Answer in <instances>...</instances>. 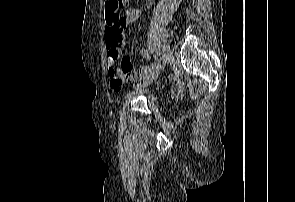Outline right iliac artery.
I'll return each mask as SVG.
<instances>
[{
    "label": "right iliac artery",
    "instance_id": "1",
    "mask_svg": "<svg viewBox=\"0 0 295 202\" xmlns=\"http://www.w3.org/2000/svg\"><path fill=\"white\" fill-rule=\"evenodd\" d=\"M156 54H157V56H160V55H161V50H160V48L156 49Z\"/></svg>",
    "mask_w": 295,
    "mask_h": 202
}]
</instances>
